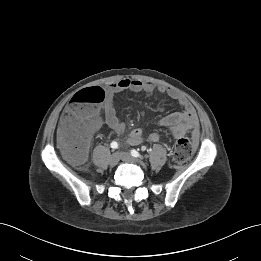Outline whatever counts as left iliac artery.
Segmentation results:
<instances>
[{
	"label": "left iliac artery",
	"instance_id": "obj_1",
	"mask_svg": "<svg viewBox=\"0 0 261 261\" xmlns=\"http://www.w3.org/2000/svg\"><path fill=\"white\" fill-rule=\"evenodd\" d=\"M131 155L133 156V157H136V158H141V155H140V153L138 152V151H136V150H131Z\"/></svg>",
	"mask_w": 261,
	"mask_h": 261
}]
</instances>
